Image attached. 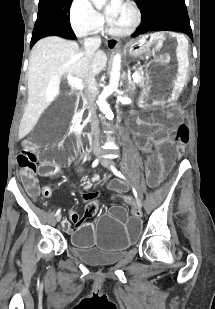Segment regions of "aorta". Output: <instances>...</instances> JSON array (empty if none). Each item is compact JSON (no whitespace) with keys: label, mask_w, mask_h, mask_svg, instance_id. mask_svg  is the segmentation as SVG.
<instances>
[{"label":"aorta","mask_w":215,"mask_h":309,"mask_svg":"<svg viewBox=\"0 0 215 309\" xmlns=\"http://www.w3.org/2000/svg\"><path fill=\"white\" fill-rule=\"evenodd\" d=\"M93 4H95L96 8H102L103 4H106V0H92ZM120 68H121V54H115L112 62V68L110 72V80L108 86H105V92H101L98 96L97 104L107 116V118H113L114 114L110 108V104H108L106 98L110 92L116 90L118 88L119 80H120Z\"/></svg>","instance_id":"aorta-1"}]
</instances>
